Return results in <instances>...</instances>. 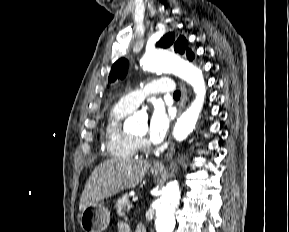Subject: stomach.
<instances>
[{
    "label": "stomach",
    "instance_id": "0dacf381",
    "mask_svg": "<svg viewBox=\"0 0 289 232\" xmlns=\"http://www.w3.org/2000/svg\"><path fill=\"white\" fill-rule=\"evenodd\" d=\"M161 170H152L154 177L159 176ZM110 211L103 201L89 205L80 214V226L84 232H103L109 225Z\"/></svg>",
    "mask_w": 289,
    "mask_h": 232
}]
</instances>
